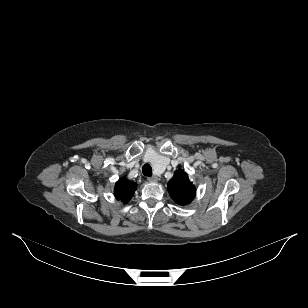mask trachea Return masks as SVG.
<instances>
[{
  "label": "trachea",
  "instance_id": "3493384b",
  "mask_svg": "<svg viewBox=\"0 0 308 308\" xmlns=\"http://www.w3.org/2000/svg\"><path fill=\"white\" fill-rule=\"evenodd\" d=\"M142 173L145 175V176H152V168L149 164H145L143 167H142Z\"/></svg>",
  "mask_w": 308,
  "mask_h": 308
}]
</instances>
